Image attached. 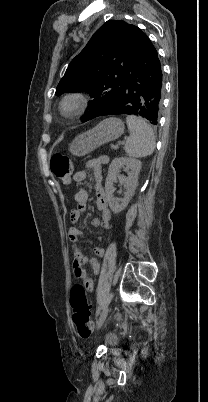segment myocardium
I'll use <instances>...</instances> for the list:
<instances>
[{"label": "myocardium", "instance_id": "myocardium-1", "mask_svg": "<svg viewBox=\"0 0 208 402\" xmlns=\"http://www.w3.org/2000/svg\"><path fill=\"white\" fill-rule=\"evenodd\" d=\"M89 99L82 93H68L62 97L58 104V111L63 118H75L87 110Z\"/></svg>", "mask_w": 208, "mask_h": 402}]
</instances>
